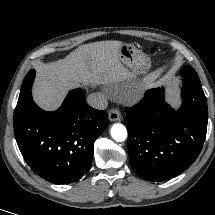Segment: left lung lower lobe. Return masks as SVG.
Masks as SVG:
<instances>
[{
  "mask_svg": "<svg viewBox=\"0 0 215 215\" xmlns=\"http://www.w3.org/2000/svg\"><path fill=\"white\" fill-rule=\"evenodd\" d=\"M182 106L164 99V88L146 92L126 108L128 153L135 173L148 181H164L183 172L198 157L207 132V100L200 83L183 82Z\"/></svg>",
  "mask_w": 215,
  "mask_h": 215,
  "instance_id": "left-lung-lower-lobe-1",
  "label": "left lung lower lobe"
}]
</instances>
